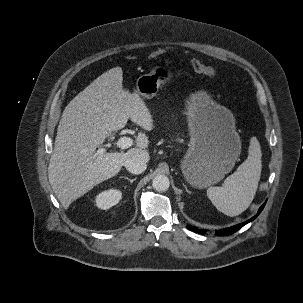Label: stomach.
Masks as SVG:
<instances>
[{"label": "stomach", "instance_id": "obj_1", "mask_svg": "<svg viewBox=\"0 0 303 303\" xmlns=\"http://www.w3.org/2000/svg\"><path fill=\"white\" fill-rule=\"evenodd\" d=\"M172 77L167 68L155 66L149 74L138 78L137 92L142 98L151 99ZM185 113L190 143L181 170L189 184L207 188L232 170L241 154V138L231 111L214 102L203 90L189 96Z\"/></svg>", "mask_w": 303, "mask_h": 303}]
</instances>
